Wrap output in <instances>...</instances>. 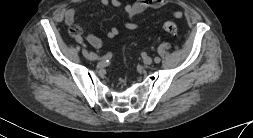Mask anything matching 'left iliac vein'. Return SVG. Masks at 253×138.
I'll use <instances>...</instances> for the list:
<instances>
[{"label": "left iliac vein", "instance_id": "1", "mask_svg": "<svg viewBox=\"0 0 253 138\" xmlns=\"http://www.w3.org/2000/svg\"><path fill=\"white\" fill-rule=\"evenodd\" d=\"M152 62H153V60H152L151 57H149V56H144V57H143V63H144L145 65H150Z\"/></svg>", "mask_w": 253, "mask_h": 138}]
</instances>
